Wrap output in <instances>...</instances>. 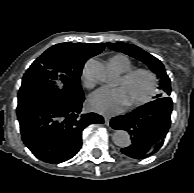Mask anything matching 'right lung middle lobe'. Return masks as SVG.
Listing matches in <instances>:
<instances>
[{
    "label": "right lung middle lobe",
    "instance_id": "1",
    "mask_svg": "<svg viewBox=\"0 0 194 193\" xmlns=\"http://www.w3.org/2000/svg\"><path fill=\"white\" fill-rule=\"evenodd\" d=\"M82 70H69L65 73L45 74L41 71H29L24 74L18 93V105L39 101H70L83 95L80 86ZM63 84L59 89L56 81Z\"/></svg>",
    "mask_w": 194,
    "mask_h": 193
}]
</instances>
